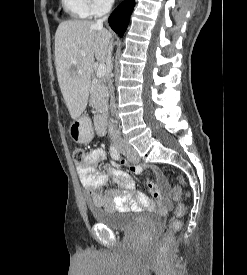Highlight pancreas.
Returning a JSON list of instances; mask_svg holds the SVG:
<instances>
[{"instance_id":"pancreas-1","label":"pancreas","mask_w":247,"mask_h":275,"mask_svg":"<svg viewBox=\"0 0 247 275\" xmlns=\"http://www.w3.org/2000/svg\"><path fill=\"white\" fill-rule=\"evenodd\" d=\"M90 104L96 109L97 113H104L108 108V91L105 79L101 78L92 85Z\"/></svg>"}]
</instances>
